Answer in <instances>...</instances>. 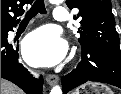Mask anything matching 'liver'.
<instances>
[{"mask_svg": "<svg viewBox=\"0 0 121 94\" xmlns=\"http://www.w3.org/2000/svg\"><path fill=\"white\" fill-rule=\"evenodd\" d=\"M1 94H24V93L16 85L1 78Z\"/></svg>", "mask_w": 121, "mask_h": 94, "instance_id": "6515ba94", "label": "liver"}]
</instances>
